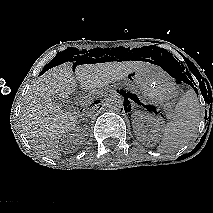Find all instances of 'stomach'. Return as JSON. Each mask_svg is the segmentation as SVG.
Here are the masks:
<instances>
[{
	"label": "stomach",
	"mask_w": 213,
	"mask_h": 213,
	"mask_svg": "<svg viewBox=\"0 0 213 213\" xmlns=\"http://www.w3.org/2000/svg\"><path fill=\"white\" fill-rule=\"evenodd\" d=\"M128 78L143 91L152 105L167 104L176 95L175 83L161 74L155 66L141 67L128 75Z\"/></svg>",
	"instance_id": "obj_1"
}]
</instances>
